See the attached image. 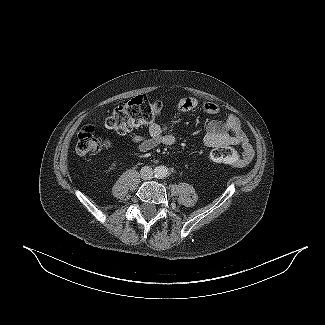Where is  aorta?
Here are the masks:
<instances>
[{
	"label": "aorta",
	"mask_w": 325,
	"mask_h": 325,
	"mask_svg": "<svg viewBox=\"0 0 325 325\" xmlns=\"http://www.w3.org/2000/svg\"><path fill=\"white\" fill-rule=\"evenodd\" d=\"M154 173L157 178L162 179L168 175V168L162 165L158 166L155 168Z\"/></svg>",
	"instance_id": "1"
}]
</instances>
